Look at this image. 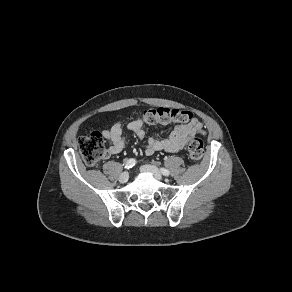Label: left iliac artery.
I'll return each mask as SVG.
<instances>
[{"label": "left iliac artery", "mask_w": 292, "mask_h": 292, "mask_svg": "<svg viewBox=\"0 0 292 292\" xmlns=\"http://www.w3.org/2000/svg\"><path fill=\"white\" fill-rule=\"evenodd\" d=\"M160 170H161V173H162L163 175H165V176H169L170 172H169L167 169H165V168H160Z\"/></svg>", "instance_id": "1"}]
</instances>
